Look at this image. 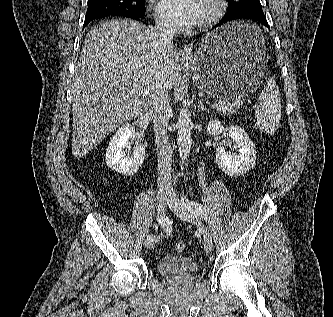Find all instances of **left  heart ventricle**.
Masks as SVG:
<instances>
[{
  "label": "left heart ventricle",
  "mask_w": 333,
  "mask_h": 317,
  "mask_svg": "<svg viewBox=\"0 0 333 317\" xmlns=\"http://www.w3.org/2000/svg\"><path fill=\"white\" fill-rule=\"evenodd\" d=\"M208 12V5L205 3V0H203V4H202V16L200 21L206 16Z\"/></svg>",
  "instance_id": "b2bd125f"
}]
</instances>
